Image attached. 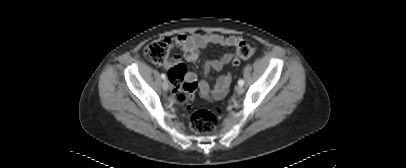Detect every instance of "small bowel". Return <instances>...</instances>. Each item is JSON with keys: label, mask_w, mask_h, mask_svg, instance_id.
<instances>
[{"label": "small bowel", "mask_w": 406, "mask_h": 168, "mask_svg": "<svg viewBox=\"0 0 406 168\" xmlns=\"http://www.w3.org/2000/svg\"><path fill=\"white\" fill-rule=\"evenodd\" d=\"M241 42L240 37L234 35H221L216 33L193 34V35H178L173 39V44L180 48L182 54H174L170 59L163 63L164 68L170 70L177 64H182V59L187 62H194L198 59L200 50L207 48L210 45L221 47H236ZM232 54H224L218 59H210L205 63V72L210 74L212 71H220L224 65L230 63ZM186 81L195 82L196 76L190 71H186L183 77ZM231 74L226 73L220 75L216 81L212 91L205 81L199 82V92L206 100H220L228 91L231 83Z\"/></svg>", "instance_id": "small-bowel-1"}]
</instances>
